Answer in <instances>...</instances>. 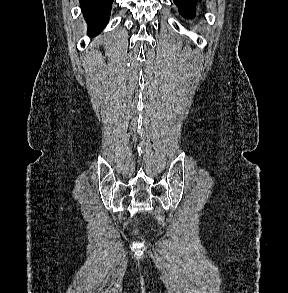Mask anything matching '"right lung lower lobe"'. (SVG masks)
Returning <instances> with one entry per match:
<instances>
[{
    "label": "right lung lower lobe",
    "mask_w": 288,
    "mask_h": 293,
    "mask_svg": "<svg viewBox=\"0 0 288 293\" xmlns=\"http://www.w3.org/2000/svg\"><path fill=\"white\" fill-rule=\"evenodd\" d=\"M112 2L113 0H80L91 37L97 35L108 23Z\"/></svg>",
    "instance_id": "obj_1"
}]
</instances>
